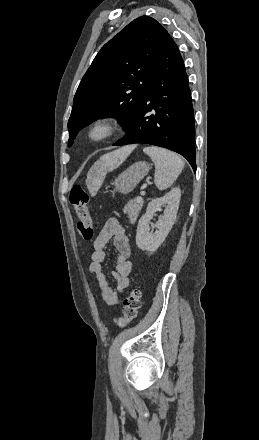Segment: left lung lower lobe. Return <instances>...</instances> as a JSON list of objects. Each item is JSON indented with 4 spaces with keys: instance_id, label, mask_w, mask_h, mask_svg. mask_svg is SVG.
<instances>
[{
    "instance_id": "0a47b994",
    "label": "left lung lower lobe",
    "mask_w": 259,
    "mask_h": 440,
    "mask_svg": "<svg viewBox=\"0 0 259 440\" xmlns=\"http://www.w3.org/2000/svg\"><path fill=\"white\" fill-rule=\"evenodd\" d=\"M152 110L154 113L150 114ZM126 131L114 145L145 143L164 147L184 156L196 171L194 112L188 77L170 35Z\"/></svg>"
}]
</instances>
